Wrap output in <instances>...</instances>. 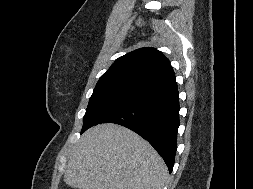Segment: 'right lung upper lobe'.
<instances>
[{
  "label": "right lung upper lobe",
  "mask_w": 253,
  "mask_h": 189,
  "mask_svg": "<svg viewBox=\"0 0 253 189\" xmlns=\"http://www.w3.org/2000/svg\"><path fill=\"white\" fill-rule=\"evenodd\" d=\"M169 60L154 48H140L118 58L100 77L96 88L132 87L147 92L175 83Z\"/></svg>",
  "instance_id": "cb5924a9"
}]
</instances>
